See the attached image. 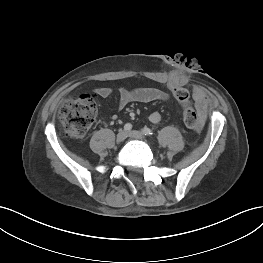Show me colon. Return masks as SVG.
<instances>
[{
  "label": "colon",
  "mask_w": 263,
  "mask_h": 263,
  "mask_svg": "<svg viewBox=\"0 0 263 263\" xmlns=\"http://www.w3.org/2000/svg\"><path fill=\"white\" fill-rule=\"evenodd\" d=\"M173 95L182 106L185 125L199 132L202 120L190 103L189 92L183 87L176 86L173 88ZM96 109V102L91 94H82L65 102L58 112L64 135L70 138L83 137L93 124Z\"/></svg>",
  "instance_id": "1"
}]
</instances>
